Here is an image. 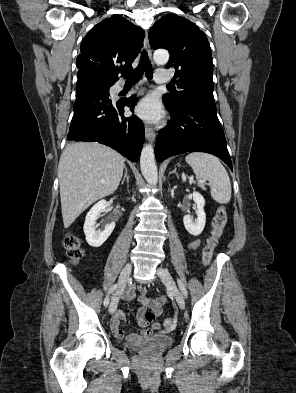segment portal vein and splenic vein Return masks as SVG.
Wrapping results in <instances>:
<instances>
[{
  "instance_id": "portal-vein-and-splenic-vein-1",
  "label": "portal vein and splenic vein",
  "mask_w": 296,
  "mask_h": 393,
  "mask_svg": "<svg viewBox=\"0 0 296 393\" xmlns=\"http://www.w3.org/2000/svg\"><path fill=\"white\" fill-rule=\"evenodd\" d=\"M198 182L201 184L205 183V181H203V180H198Z\"/></svg>"
}]
</instances>
